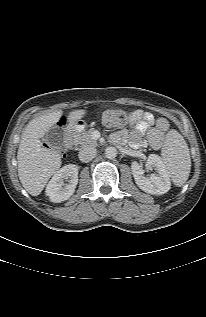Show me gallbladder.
<instances>
[{
    "label": "gallbladder",
    "instance_id": "gallbladder-1",
    "mask_svg": "<svg viewBox=\"0 0 206 317\" xmlns=\"http://www.w3.org/2000/svg\"><path fill=\"white\" fill-rule=\"evenodd\" d=\"M64 140L65 130L62 127L53 126L46 133V143L52 149H60L64 144Z\"/></svg>",
    "mask_w": 206,
    "mask_h": 317
}]
</instances>
